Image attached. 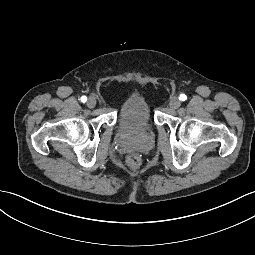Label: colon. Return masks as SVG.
Wrapping results in <instances>:
<instances>
[{
  "label": "colon",
  "mask_w": 255,
  "mask_h": 255,
  "mask_svg": "<svg viewBox=\"0 0 255 255\" xmlns=\"http://www.w3.org/2000/svg\"><path fill=\"white\" fill-rule=\"evenodd\" d=\"M127 162L130 167L135 168L139 165V158L136 155H130Z\"/></svg>",
  "instance_id": "colon-1"
}]
</instances>
